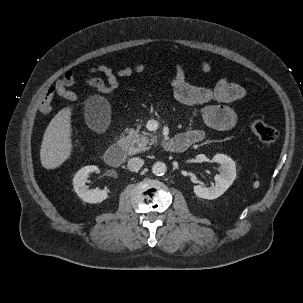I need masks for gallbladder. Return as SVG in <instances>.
Instances as JSON below:
<instances>
[{"mask_svg":"<svg viewBox=\"0 0 303 303\" xmlns=\"http://www.w3.org/2000/svg\"><path fill=\"white\" fill-rule=\"evenodd\" d=\"M110 106L107 100L101 96H91L85 102L84 116L87 125L96 131L103 129L108 123Z\"/></svg>","mask_w":303,"mask_h":303,"instance_id":"gallbladder-1","label":"gallbladder"}]
</instances>
